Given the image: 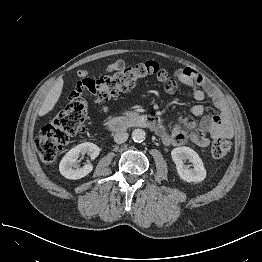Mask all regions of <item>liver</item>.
I'll use <instances>...</instances> for the list:
<instances>
[{
  "mask_svg": "<svg viewBox=\"0 0 262 262\" xmlns=\"http://www.w3.org/2000/svg\"><path fill=\"white\" fill-rule=\"evenodd\" d=\"M63 84H64L63 78L59 77L55 82V84L53 85V87L47 93L42 103V106L39 110L38 113L39 116H45L54 108L55 104L57 103V101L61 96Z\"/></svg>",
  "mask_w": 262,
  "mask_h": 262,
  "instance_id": "6515ba94",
  "label": "liver"
}]
</instances>
